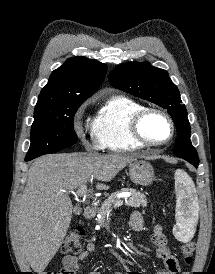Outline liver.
<instances>
[{"label": "liver", "mask_w": 215, "mask_h": 274, "mask_svg": "<svg viewBox=\"0 0 215 274\" xmlns=\"http://www.w3.org/2000/svg\"><path fill=\"white\" fill-rule=\"evenodd\" d=\"M135 159L122 154L63 153L36 159L13 219L14 243L31 268L42 274L67 234L72 219L69 193L90 177L109 182ZM98 190L108 186L97 183Z\"/></svg>", "instance_id": "liver-1"}]
</instances>
